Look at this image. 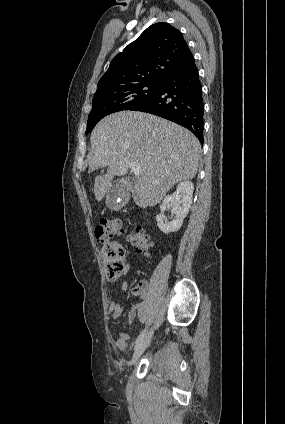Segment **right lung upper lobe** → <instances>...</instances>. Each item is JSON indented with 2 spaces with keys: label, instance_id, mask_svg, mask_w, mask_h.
I'll return each instance as SVG.
<instances>
[{
  "label": "right lung upper lobe",
  "instance_id": "right-lung-upper-lobe-1",
  "mask_svg": "<svg viewBox=\"0 0 285 424\" xmlns=\"http://www.w3.org/2000/svg\"><path fill=\"white\" fill-rule=\"evenodd\" d=\"M193 60L181 32L168 23H156L114 57L97 91L139 81H163Z\"/></svg>",
  "mask_w": 285,
  "mask_h": 424
}]
</instances>
